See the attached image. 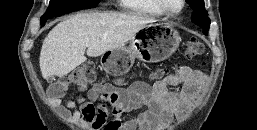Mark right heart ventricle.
Instances as JSON below:
<instances>
[{
    "mask_svg": "<svg viewBox=\"0 0 257 130\" xmlns=\"http://www.w3.org/2000/svg\"><path fill=\"white\" fill-rule=\"evenodd\" d=\"M127 11L144 16H163L166 13L159 7L156 0H119Z\"/></svg>",
    "mask_w": 257,
    "mask_h": 130,
    "instance_id": "1",
    "label": "right heart ventricle"
}]
</instances>
